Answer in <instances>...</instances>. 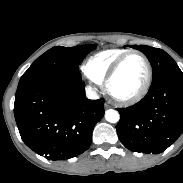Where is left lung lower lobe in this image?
I'll return each instance as SVG.
<instances>
[{
	"label": "left lung lower lobe",
	"instance_id": "1",
	"mask_svg": "<svg viewBox=\"0 0 183 183\" xmlns=\"http://www.w3.org/2000/svg\"><path fill=\"white\" fill-rule=\"evenodd\" d=\"M116 125L121 143L134 152L158 154L183 132V73H170L154 80L137 104L118 108Z\"/></svg>",
	"mask_w": 183,
	"mask_h": 183
}]
</instances>
